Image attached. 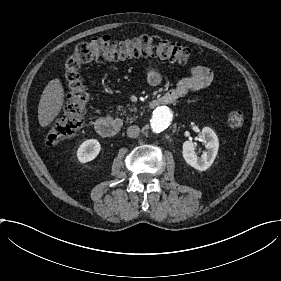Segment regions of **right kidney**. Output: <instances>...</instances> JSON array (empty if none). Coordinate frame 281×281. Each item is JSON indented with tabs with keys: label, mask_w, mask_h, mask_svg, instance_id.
<instances>
[{
	"label": "right kidney",
	"mask_w": 281,
	"mask_h": 281,
	"mask_svg": "<svg viewBox=\"0 0 281 281\" xmlns=\"http://www.w3.org/2000/svg\"><path fill=\"white\" fill-rule=\"evenodd\" d=\"M101 149L100 143L96 139L84 141L77 150V158L81 163H86L97 157Z\"/></svg>",
	"instance_id": "right-kidney-1"
}]
</instances>
